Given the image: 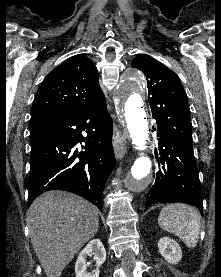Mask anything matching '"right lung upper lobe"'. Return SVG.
I'll return each mask as SVG.
<instances>
[{"mask_svg":"<svg viewBox=\"0 0 221 277\" xmlns=\"http://www.w3.org/2000/svg\"><path fill=\"white\" fill-rule=\"evenodd\" d=\"M92 61L76 55L64 61L43 80L35 96L31 118L77 112L105 101Z\"/></svg>","mask_w":221,"mask_h":277,"instance_id":"right-lung-upper-lobe-1","label":"right lung upper lobe"}]
</instances>
